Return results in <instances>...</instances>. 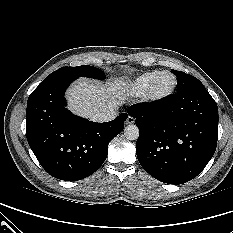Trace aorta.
Wrapping results in <instances>:
<instances>
[{"instance_id": "1", "label": "aorta", "mask_w": 233, "mask_h": 233, "mask_svg": "<svg viewBox=\"0 0 233 233\" xmlns=\"http://www.w3.org/2000/svg\"><path fill=\"white\" fill-rule=\"evenodd\" d=\"M124 136L128 140H137L139 137V128L134 124L127 125L124 128Z\"/></svg>"}]
</instances>
